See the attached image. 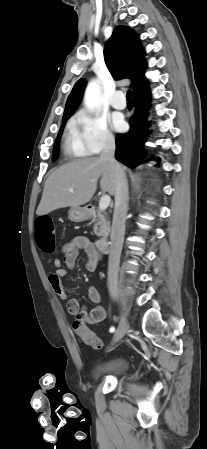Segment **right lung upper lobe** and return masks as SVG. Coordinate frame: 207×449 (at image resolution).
Returning a JSON list of instances; mask_svg holds the SVG:
<instances>
[{"instance_id":"obj_1","label":"right lung upper lobe","mask_w":207,"mask_h":449,"mask_svg":"<svg viewBox=\"0 0 207 449\" xmlns=\"http://www.w3.org/2000/svg\"><path fill=\"white\" fill-rule=\"evenodd\" d=\"M141 48L140 40L129 28L117 26L104 49V58L107 68L115 79H131L130 87L133 94L147 87L144 69L146 63ZM86 86L84 78L79 79L68 99L63 114V119H68L80 103Z\"/></svg>"}]
</instances>
